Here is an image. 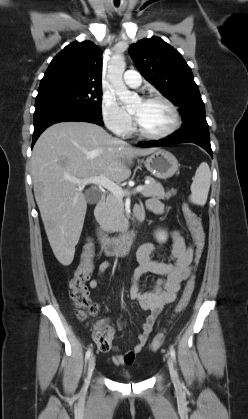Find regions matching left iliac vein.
Returning <instances> with one entry per match:
<instances>
[{
	"label": "left iliac vein",
	"mask_w": 248,
	"mask_h": 419,
	"mask_svg": "<svg viewBox=\"0 0 248 419\" xmlns=\"http://www.w3.org/2000/svg\"><path fill=\"white\" fill-rule=\"evenodd\" d=\"M167 365H168V369H169L171 378L172 379H176L177 378V374H176V371L174 369V365H173L172 359L169 356L167 357Z\"/></svg>",
	"instance_id": "obj_1"
}]
</instances>
